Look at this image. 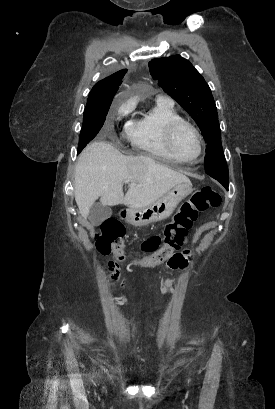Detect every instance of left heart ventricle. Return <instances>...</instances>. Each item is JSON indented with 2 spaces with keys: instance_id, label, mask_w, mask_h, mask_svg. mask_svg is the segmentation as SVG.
Returning <instances> with one entry per match:
<instances>
[{
  "instance_id": "1",
  "label": "left heart ventricle",
  "mask_w": 275,
  "mask_h": 409,
  "mask_svg": "<svg viewBox=\"0 0 275 409\" xmlns=\"http://www.w3.org/2000/svg\"><path fill=\"white\" fill-rule=\"evenodd\" d=\"M178 157H193L197 153V144L193 133L188 128H182L176 135L174 143Z\"/></svg>"
}]
</instances>
